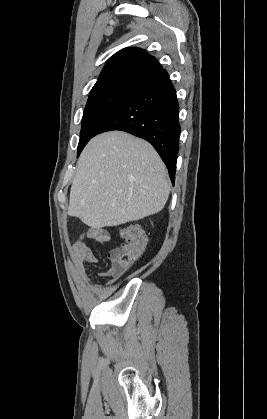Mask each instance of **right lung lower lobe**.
I'll return each instance as SVG.
<instances>
[{
  "label": "right lung lower lobe",
  "instance_id": "98d812e1",
  "mask_svg": "<svg viewBox=\"0 0 267 419\" xmlns=\"http://www.w3.org/2000/svg\"><path fill=\"white\" fill-rule=\"evenodd\" d=\"M179 105L165 69L137 87L99 125L94 136L106 131L128 132L150 142L174 184L179 149Z\"/></svg>",
  "mask_w": 267,
  "mask_h": 419
}]
</instances>
